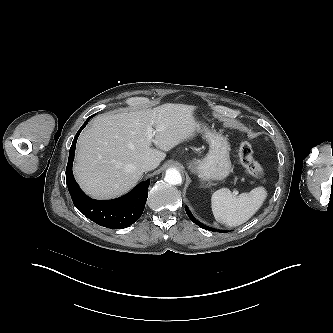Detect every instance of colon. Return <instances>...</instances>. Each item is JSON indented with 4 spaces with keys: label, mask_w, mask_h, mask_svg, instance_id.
Returning a JSON list of instances; mask_svg holds the SVG:
<instances>
[{
    "label": "colon",
    "mask_w": 333,
    "mask_h": 333,
    "mask_svg": "<svg viewBox=\"0 0 333 333\" xmlns=\"http://www.w3.org/2000/svg\"><path fill=\"white\" fill-rule=\"evenodd\" d=\"M239 159L245 170L253 177L260 178L264 174L262 165L255 159L252 145L243 141L239 146Z\"/></svg>",
    "instance_id": "obj_1"
}]
</instances>
